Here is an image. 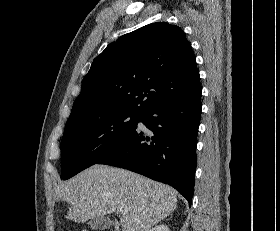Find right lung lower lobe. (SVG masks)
<instances>
[{
    "instance_id": "right-lung-lower-lobe-1",
    "label": "right lung lower lobe",
    "mask_w": 280,
    "mask_h": 231,
    "mask_svg": "<svg viewBox=\"0 0 280 231\" xmlns=\"http://www.w3.org/2000/svg\"><path fill=\"white\" fill-rule=\"evenodd\" d=\"M201 90L159 103L142 114L138 128L96 164L116 166L174 187L189 203L194 193Z\"/></svg>"
}]
</instances>
